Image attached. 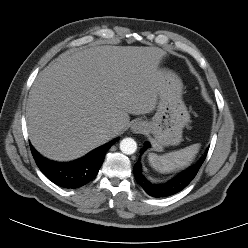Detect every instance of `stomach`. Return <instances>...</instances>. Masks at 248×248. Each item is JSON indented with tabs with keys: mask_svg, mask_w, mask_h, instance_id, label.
I'll list each match as a JSON object with an SVG mask.
<instances>
[{
	"mask_svg": "<svg viewBox=\"0 0 248 248\" xmlns=\"http://www.w3.org/2000/svg\"><path fill=\"white\" fill-rule=\"evenodd\" d=\"M165 85L160 94L156 113L145 122L146 133L153 136L156 149L178 145L182 141V130L190 122L189 112L182 100L183 83L170 70L160 71Z\"/></svg>",
	"mask_w": 248,
	"mask_h": 248,
	"instance_id": "obj_1",
	"label": "stomach"
}]
</instances>
